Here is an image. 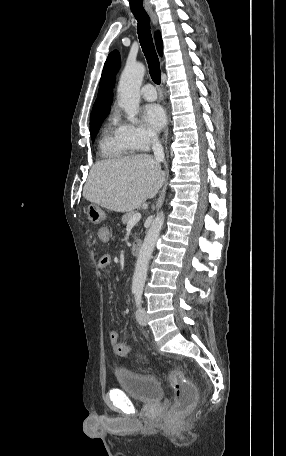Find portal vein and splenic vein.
Here are the masks:
<instances>
[{"instance_id":"portal-vein-and-splenic-vein-1","label":"portal vein and splenic vein","mask_w":286,"mask_h":456,"mask_svg":"<svg viewBox=\"0 0 286 456\" xmlns=\"http://www.w3.org/2000/svg\"><path fill=\"white\" fill-rule=\"evenodd\" d=\"M141 219V214L140 213H135L132 218L129 220V224L132 223H137Z\"/></svg>"}]
</instances>
